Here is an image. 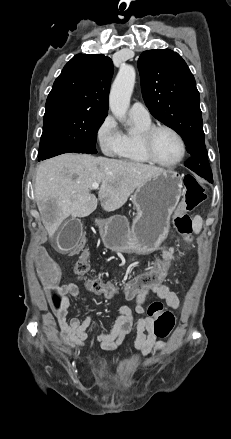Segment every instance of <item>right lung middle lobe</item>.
Returning a JSON list of instances; mask_svg holds the SVG:
<instances>
[{"mask_svg":"<svg viewBox=\"0 0 231 439\" xmlns=\"http://www.w3.org/2000/svg\"><path fill=\"white\" fill-rule=\"evenodd\" d=\"M106 115L85 112L44 117L38 160L63 153H97V132Z\"/></svg>","mask_w":231,"mask_h":439,"instance_id":"right-lung-middle-lobe-1","label":"right lung middle lobe"}]
</instances>
